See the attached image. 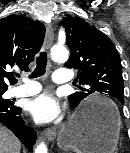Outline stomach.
<instances>
[{"label":"stomach","instance_id":"0dacf381","mask_svg":"<svg viewBox=\"0 0 130 153\" xmlns=\"http://www.w3.org/2000/svg\"><path fill=\"white\" fill-rule=\"evenodd\" d=\"M86 108H92L94 114L83 117ZM120 129L121 118L115 104L109 99L91 98L62 127L58 146L76 153H114Z\"/></svg>","mask_w":130,"mask_h":153}]
</instances>
